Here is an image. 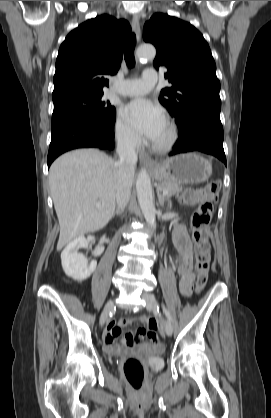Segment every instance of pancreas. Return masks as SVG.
I'll return each mask as SVG.
<instances>
[{
  "mask_svg": "<svg viewBox=\"0 0 271 418\" xmlns=\"http://www.w3.org/2000/svg\"><path fill=\"white\" fill-rule=\"evenodd\" d=\"M157 189L160 191H167L168 194L166 195V199H169L173 195L180 193L183 187L180 183L164 182V183H160Z\"/></svg>",
  "mask_w": 271,
  "mask_h": 418,
  "instance_id": "obj_1",
  "label": "pancreas"
}]
</instances>
